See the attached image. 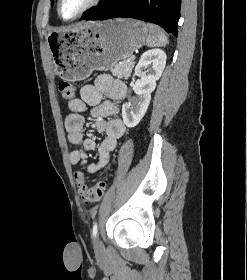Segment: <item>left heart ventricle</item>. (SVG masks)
Masks as SVG:
<instances>
[{
  "mask_svg": "<svg viewBox=\"0 0 247 280\" xmlns=\"http://www.w3.org/2000/svg\"><path fill=\"white\" fill-rule=\"evenodd\" d=\"M90 0H62L61 14L64 18H71L80 12Z\"/></svg>",
  "mask_w": 247,
  "mask_h": 280,
  "instance_id": "1",
  "label": "left heart ventricle"
}]
</instances>
